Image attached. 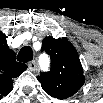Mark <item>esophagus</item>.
<instances>
[{
	"mask_svg": "<svg viewBox=\"0 0 103 103\" xmlns=\"http://www.w3.org/2000/svg\"><path fill=\"white\" fill-rule=\"evenodd\" d=\"M36 67H37V65H36V62L33 60V61H30L29 63H28V69L30 70V71H35L36 70Z\"/></svg>",
	"mask_w": 103,
	"mask_h": 103,
	"instance_id": "esophagus-1",
	"label": "esophagus"
}]
</instances>
